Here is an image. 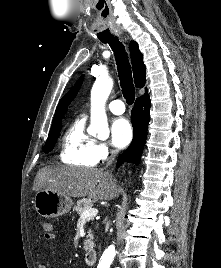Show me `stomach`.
<instances>
[{"mask_svg": "<svg viewBox=\"0 0 221 268\" xmlns=\"http://www.w3.org/2000/svg\"><path fill=\"white\" fill-rule=\"evenodd\" d=\"M72 199L50 190H39L34 197V207L39 215L55 218L68 213L72 207Z\"/></svg>", "mask_w": 221, "mask_h": 268, "instance_id": "1", "label": "stomach"}]
</instances>
